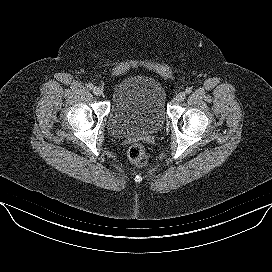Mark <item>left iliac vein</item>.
Instances as JSON below:
<instances>
[{
  "mask_svg": "<svg viewBox=\"0 0 272 272\" xmlns=\"http://www.w3.org/2000/svg\"><path fill=\"white\" fill-rule=\"evenodd\" d=\"M185 98H186L185 92H179V93L176 95V100H177L178 102L183 101Z\"/></svg>",
  "mask_w": 272,
  "mask_h": 272,
  "instance_id": "1",
  "label": "left iliac vein"
}]
</instances>
